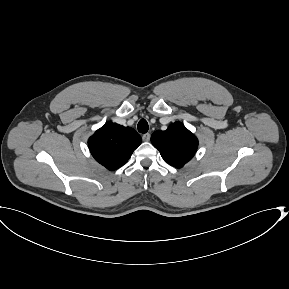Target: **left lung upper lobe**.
Returning <instances> with one entry per match:
<instances>
[{
  "mask_svg": "<svg viewBox=\"0 0 289 289\" xmlns=\"http://www.w3.org/2000/svg\"><path fill=\"white\" fill-rule=\"evenodd\" d=\"M151 142L163 159L170 165L181 168L194 156L198 140L182 123H172L165 131H155Z\"/></svg>",
  "mask_w": 289,
  "mask_h": 289,
  "instance_id": "5c2ea615",
  "label": "left lung upper lobe"
}]
</instances>
